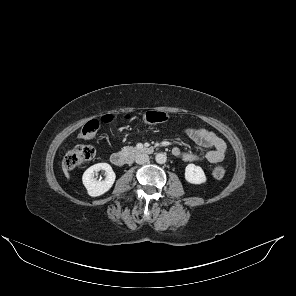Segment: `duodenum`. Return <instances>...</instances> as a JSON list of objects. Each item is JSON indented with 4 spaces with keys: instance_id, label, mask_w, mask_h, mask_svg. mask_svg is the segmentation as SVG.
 <instances>
[{
    "instance_id": "1",
    "label": "duodenum",
    "mask_w": 296,
    "mask_h": 296,
    "mask_svg": "<svg viewBox=\"0 0 296 296\" xmlns=\"http://www.w3.org/2000/svg\"><path fill=\"white\" fill-rule=\"evenodd\" d=\"M152 152H153V148L151 147L143 148L133 153L113 152L110 156V160L115 166L122 167L132 161L134 154H138V153L148 154Z\"/></svg>"
}]
</instances>
